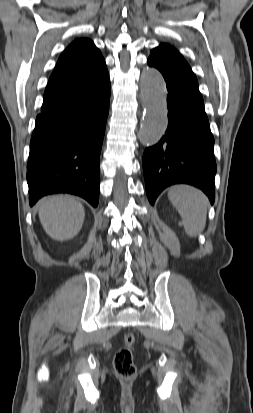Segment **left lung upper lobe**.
Here are the masks:
<instances>
[{"instance_id": "5c2ea615", "label": "left lung upper lobe", "mask_w": 253, "mask_h": 413, "mask_svg": "<svg viewBox=\"0 0 253 413\" xmlns=\"http://www.w3.org/2000/svg\"><path fill=\"white\" fill-rule=\"evenodd\" d=\"M150 58L166 65L191 70L189 64L182 57V55L169 44H161L160 46L154 48L151 51Z\"/></svg>"}]
</instances>
